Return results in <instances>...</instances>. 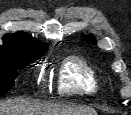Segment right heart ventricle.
<instances>
[{
  "mask_svg": "<svg viewBox=\"0 0 131 115\" xmlns=\"http://www.w3.org/2000/svg\"><path fill=\"white\" fill-rule=\"evenodd\" d=\"M103 82L96 70L76 55L66 57L60 65L57 87L63 96H94Z\"/></svg>",
  "mask_w": 131,
  "mask_h": 115,
  "instance_id": "1",
  "label": "right heart ventricle"
}]
</instances>
